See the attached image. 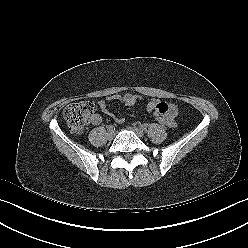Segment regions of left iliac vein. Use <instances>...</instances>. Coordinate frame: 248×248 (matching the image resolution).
Wrapping results in <instances>:
<instances>
[{
    "mask_svg": "<svg viewBox=\"0 0 248 248\" xmlns=\"http://www.w3.org/2000/svg\"><path fill=\"white\" fill-rule=\"evenodd\" d=\"M129 129L132 130L134 133H136L137 136H139V137H143L144 136V132L140 128L129 127Z\"/></svg>",
    "mask_w": 248,
    "mask_h": 248,
    "instance_id": "1",
    "label": "left iliac vein"
}]
</instances>
